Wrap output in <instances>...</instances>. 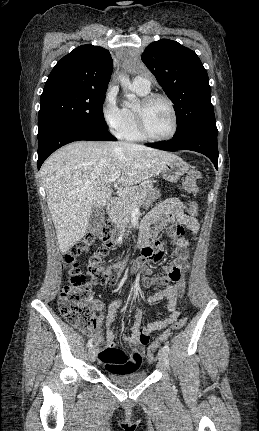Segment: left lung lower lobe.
<instances>
[{
	"mask_svg": "<svg viewBox=\"0 0 259 431\" xmlns=\"http://www.w3.org/2000/svg\"><path fill=\"white\" fill-rule=\"evenodd\" d=\"M218 130L196 128L186 131L166 142L149 143L150 147L166 151L191 150L206 155L217 169L218 164Z\"/></svg>",
	"mask_w": 259,
	"mask_h": 431,
	"instance_id": "0a47b994",
	"label": "left lung lower lobe"
}]
</instances>
